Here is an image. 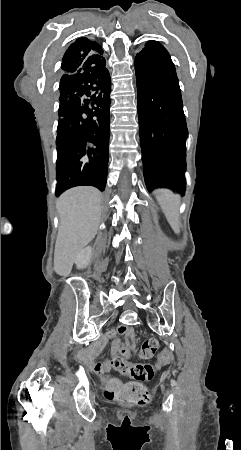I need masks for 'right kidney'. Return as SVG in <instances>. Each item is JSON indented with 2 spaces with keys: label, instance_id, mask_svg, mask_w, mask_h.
Segmentation results:
<instances>
[{
  "label": "right kidney",
  "instance_id": "1",
  "mask_svg": "<svg viewBox=\"0 0 241 450\" xmlns=\"http://www.w3.org/2000/svg\"><path fill=\"white\" fill-rule=\"evenodd\" d=\"M91 254H92L91 246H87V248H84V250H81V252H79L78 256H76L75 258V264L78 270H82V268H86V266L90 264Z\"/></svg>",
  "mask_w": 241,
  "mask_h": 450
}]
</instances>
